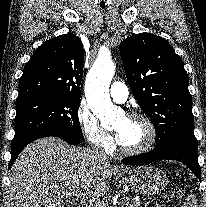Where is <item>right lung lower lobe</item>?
<instances>
[{
    "label": "right lung lower lobe",
    "mask_w": 206,
    "mask_h": 207,
    "mask_svg": "<svg viewBox=\"0 0 206 207\" xmlns=\"http://www.w3.org/2000/svg\"><path fill=\"white\" fill-rule=\"evenodd\" d=\"M48 136H57L59 138H62L63 140H65L69 144H76L81 141L80 139L71 138L65 134H62L60 132H55V131H45V132L37 133V134L32 135L31 137L27 138L26 140L22 141L20 144L11 147V160L9 162V168L12 166L13 162L15 161V159L17 158L19 153L23 150V148L27 144L33 142L36 139L48 137Z\"/></svg>",
    "instance_id": "obj_1"
}]
</instances>
